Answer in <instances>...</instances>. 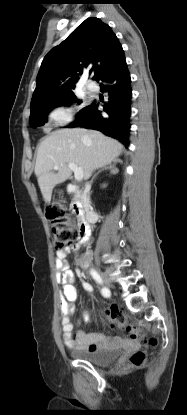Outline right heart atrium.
<instances>
[{"instance_id":"d8ad5b80","label":"right heart atrium","mask_w":187,"mask_h":415,"mask_svg":"<svg viewBox=\"0 0 187 415\" xmlns=\"http://www.w3.org/2000/svg\"><path fill=\"white\" fill-rule=\"evenodd\" d=\"M73 111L67 105L52 108L46 115L47 122L53 127H64L71 123Z\"/></svg>"}]
</instances>
